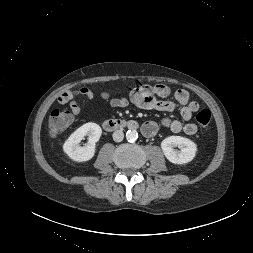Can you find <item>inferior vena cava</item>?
Listing matches in <instances>:
<instances>
[{"label":"inferior vena cava","instance_id":"602c4592","mask_svg":"<svg viewBox=\"0 0 253 253\" xmlns=\"http://www.w3.org/2000/svg\"><path fill=\"white\" fill-rule=\"evenodd\" d=\"M112 137L115 142H121L124 138V133L121 130H116Z\"/></svg>","mask_w":253,"mask_h":253}]
</instances>
